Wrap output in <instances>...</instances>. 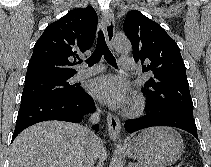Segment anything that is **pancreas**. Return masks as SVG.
<instances>
[{"label": "pancreas", "mask_w": 211, "mask_h": 167, "mask_svg": "<svg viewBox=\"0 0 211 167\" xmlns=\"http://www.w3.org/2000/svg\"><path fill=\"white\" fill-rule=\"evenodd\" d=\"M129 167H144V166L141 165V164L130 163V164H129Z\"/></svg>", "instance_id": "cf45deb5"}]
</instances>
